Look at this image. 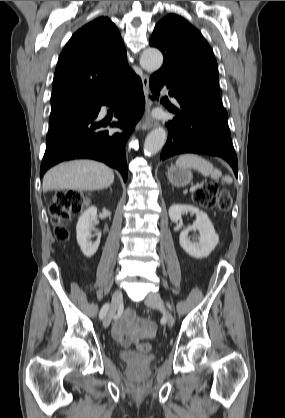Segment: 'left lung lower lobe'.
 <instances>
[{
    "mask_svg": "<svg viewBox=\"0 0 285 418\" xmlns=\"http://www.w3.org/2000/svg\"><path fill=\"white\" fill-rule=\"evenodd\" d=\"M149 83L155 95H159L160 89L166 85L170 88L169 95L176 98L181 106L180 110L170 109L178 116L166 122L168 139L160 159L182 153L219 156L231 165L237 176V156L223 105L180 89L162 74L152 75Z\"/></svg>",
    "mask_w": 285,
    "mask_h": 418,
    "instance_id": "1",
    "label": "left lung lower lobe"
}]
</instances>
